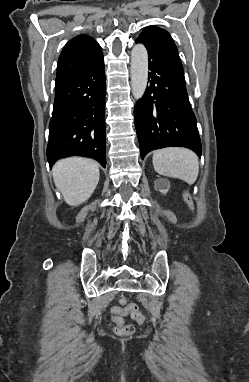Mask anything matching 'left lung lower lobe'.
I'll return each mask as SVG.
<instances>
[{"label": "left lung lower lobe", "instance_id": "0a47b994", "mask_svg": "<svg viewBox=\"0 0 249 382\" xmlns=\"http://www.w3.org/2000/svg\"><path fill=\"white\" fill-rule=\"evenodd\" d=\"M136 43L143 42L137 38ZM147 50L149 87L134 109L141 158L152 150L170 146L189 148L201 157V141L184 72Z\"/></svg>", "mask_w": 249, "mask_h": 382}]
</instances>
